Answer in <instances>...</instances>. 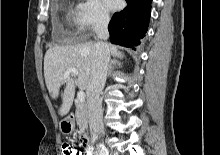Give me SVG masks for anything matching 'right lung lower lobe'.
Instances as JSON below:
<instances>
[{"mask_svg": "<svg viewBox=\"0 0 220 155\" xmlns=\"http://www.w3.org/2000/svg\"><path fill=\"white\" fill-rule=\"evenodd\" d=\"M126 2L128 6L113 15L108 30L112 43L134 47L139 45L140 39L148 29L152 0H126Z\"/></svg>", "mask_w": 220, "mask_h": 155, "instance_id": "obj_1", "label": "right lung lower lobe"}]
</instances>
